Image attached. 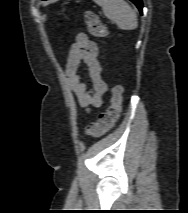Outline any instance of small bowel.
I'll list each match as a JSON object with an SVG mask.
<instances>
[{"instance_id": "c3829d8e", "label": "small bowel", "mask_w": 188, "mask_h": 213, "mask_svg": "<svg viewBox=\"0 0 188 213\" xmlns=\"http://www.w3.org/2000/svg\"><path fill=\"white\" fill-rule=\"evenodd\" d=\"M99 48L86 33H78L71 46L66 62L65 72L68 85L73 91L78 104L90 112L91 108L102 105L107 83L102 77V67L98 60ZM87 66L89 83L82 81L79 69Z\"/></svg>"}]
</instances>
